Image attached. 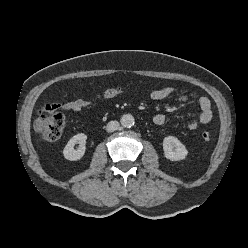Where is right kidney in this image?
Instances as JSON below:
<instances>
[{"label":"right kidney","instance_id":"ca27d5eb","mask_svg":"<svg viewBox=\"0 0 248 248\" xmlns=\"http://www.w3.org/2000/svg\"><path fill=\"white\" fill-rule=\"evenodd\" d=\"M86 140L87 136L84 133L74 135L63 150L65 159L70 161L80 160L85 154ZM75 144H79V148L77 150L74 149Z\"/></svg>","mask_w":248,"mask_h":248}]
</instances>
